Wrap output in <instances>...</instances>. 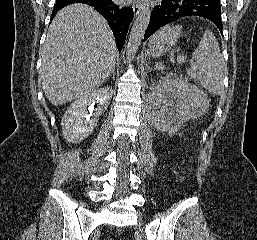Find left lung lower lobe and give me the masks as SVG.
<instances>
[{
  "label": "left lung lower lobe",
  "mask_w": 257,
  "mask_h": 240,
  "mask_svg": "<svg viewBox=\"0 0 257 240\" xmlns=\"http://www.w3.org/2000/svg\"><path fill=\"white\" fill-rule=\"evenodd\" d=\"M188 16L211 21L222 34L220 0H162L152 11L145 41L159 28Z\"/></svg>",
  "instance_id": "left-lung-lower-lobe-1"
}]
</instances>
